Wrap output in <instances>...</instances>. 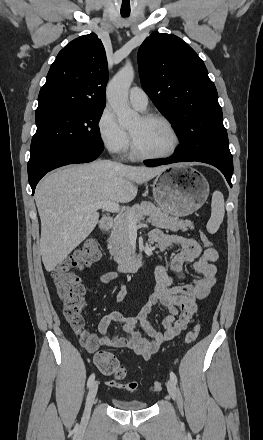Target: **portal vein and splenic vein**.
Segmentation results:
<instances>
[{"label": "portal vein and splenic vein", "instance_id": "obj_1", "mask_svg": "<svg viewBox=\"0 0 263 440\" xmlns=\"http://www.w3.org/2000/svg\"><path fill=\"white\" fill-rule=\"evenodd\" d=\"M98 209H103V210L111 212V213H119L120 212L119 204L112 202V201H104L102 203H98V204L84 207V210H86V211H94V210H98ZM136 227H137V223L130 216V228L135 229Z\"/></svg>", "mask_w": 263, "mask_h": 440}]
</instances>
